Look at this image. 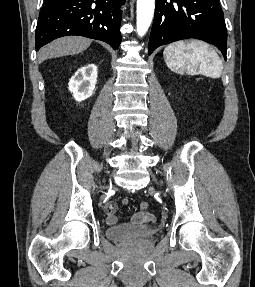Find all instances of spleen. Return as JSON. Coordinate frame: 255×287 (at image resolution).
<instances>
[{"instance_id":"spleen-1","label":"spleen","mask_w":255,"mask_h":287,"mask_svg":"<svg viewBox=\"0 0 255 287\" xmlns=\"http://www.w3.org/2000/svg\"><path fill=\"white\" fill-rule=\"evenodd\" d=\"M164 60L174 72H183L185 66L190 70L205 74L209 78H220L223 70L222 62L208 44L191 40V42H174L163 52Z\"/></svg>"}]
</instances>
